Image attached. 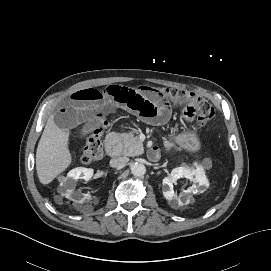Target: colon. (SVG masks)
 Instances as JSON below:
<instances>
[{
  "mask_svg": "<svg viewBox=\"0 0 271 271\" xmlns=\"http://www.w3.org/2000/svg\"><path fill=\"white\" fill-rule=\"evenodd\" d=\"M162 95L183 108V114L187 121L197 122L202 126L211 123L215 111L212 104L194 93L178 89H161ZM108 122L96 128L87 138L81 161L91 164L102 157V134Z\"/></svg>",
  "mask_w": 271,
  "mask_h": 271,
  "instance_id": "colon-1",
  "label": "colon"
}]
</instances>
